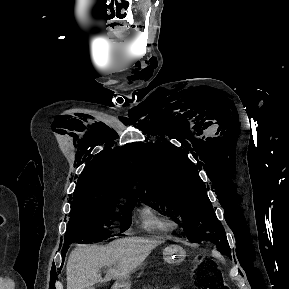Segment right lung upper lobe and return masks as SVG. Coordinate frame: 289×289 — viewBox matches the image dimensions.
<instances>
[{
  "label": "right lung upper lobe",
  "instance_id": "cb5924a9",
  "mask_svg": "<svg viewBox=\"0 0 289 289\" xmlns=\"http://www.w3.org/2000/svg\"><path fill=\"white\" fill-rule=\"evenodd\" d=\"M129 160L124 148L101 152L79 176L73 200L112 197L137 200Z\"/></svg>",
  "mask_w": 289,
  "mask_h": 289
}]
</instances>
